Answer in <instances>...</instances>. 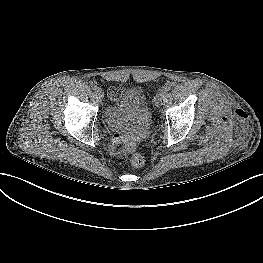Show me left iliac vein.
<instances>
[{
	"label": "left iliac vein",
	"mask_w": 263,
	"mask_h": 263,
	"mask_svg": "<svg viewBox=\"0 0 263 263\" xmlns=\"http://www.w3.org/2000/svg\"><path fill=\"white\" fill-rule=\"evenodd\" d=\"M155 102H156L157 104H160V103L162 102V98H161L160 95H159V96H156Z\"/></svg>",
	"instance_id": "obj_1"
}]
</instances>
